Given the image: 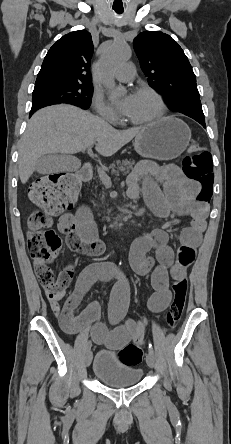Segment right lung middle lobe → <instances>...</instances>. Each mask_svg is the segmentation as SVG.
<instances>
[{
  "label": "right lung middle lobe",
  "mask_w": 231,
  "mask_h": 444,
  "mask_svg": "<svg viewBox=\"0 0 231 444\" xmlns=\"http://www.w3.org/2000/svg\"><path fill=\"white\" fill-rule=\"evenodd\" d=\"M92 85L53 83L35 86L32 94V109L68 103L87 109L92 96Z\"/></svg>",
  "instance_id": "right-lung-middle-lobe-1"
}]
</instances>
